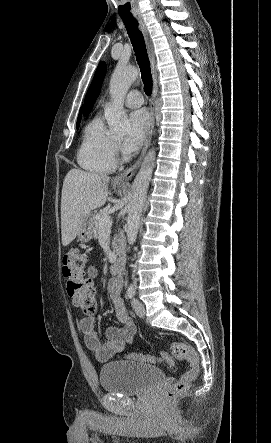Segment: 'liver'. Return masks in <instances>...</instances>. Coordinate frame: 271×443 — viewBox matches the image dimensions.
Returning a JSON list of instances; mask_svg holds the SVG:
<instances>
[{"instance_id":"1","label":"liver","mask_w":271,"mask_h":443,"mask_svg":"<svg viewBox=\"0 0 271 443\" xmlns=\"http://www.w3.org/2000/svg\"><path fill=\"white\" fill-rule=\"evenodd\" d=\"M109 176L70 170L63 182L61 198V233L63 245L75 239L84 218L107 202Z\"/></svg>"}]
</instances>
